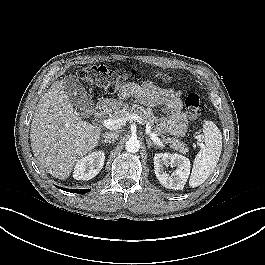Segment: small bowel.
Instances as JSON below:
<instances>
[{"mask_svg": "<svg viewBox=\"0 0 265 265\" xmlns=\"http://www.w3.org/2000/svg\"><path fill=\"white\" fill-rule=\"evenodd\" d=\"M120 98H137L149 107H163L168 115L161 118V127L174 136H182L187 128V119L183 113V103L179 92L165 90L152 82H131L119 94Z\"/></svg>", "mask_w": 265, "mask_h": 265, "instance_id": "small-bowel-1", "label": "small bowel"}]
</instances>
